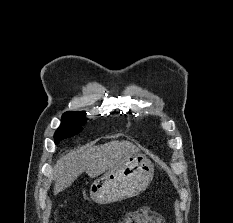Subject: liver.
Wrapping results in <instances>:
<instances>
[{
  "mask_svg": "<svg viewBox=\"0 0 233 223\" xmlns=\"http://www.w3.org/2000/svg\"><path fill=\"white\" fill-rule=\"evenodd\" d=\"M136 149L131 141H117V139L103 145L86 143L78 149H71L69 153L59 157L53 167L55 179L53 195L69 187L83 171H86L89 177H97L113 167L123 155L133 153Z\"/></svg>",
  "mask_w": 233,
  "mask_h": 223,
  "instance_id": "liver-1",
  "label": "liver"
}]
</instances>
